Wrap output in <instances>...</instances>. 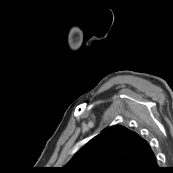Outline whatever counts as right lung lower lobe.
<instances>
[{
  "label": "right lung lower lobe",
  "mask_w": 173,
  "mask_h": 173,
  "mask_svg": "<svg viewBox=\"0 0 173 173\" xmlns=\"http://www.w3.org/2000/svg\"><path fill=\"white\" fill-rule=\"evenodd\" d=\"M124 173H161L154 153L133 163Z\"/></svg>",
  "instance_id": "98d812e1"
}]
</instances>
